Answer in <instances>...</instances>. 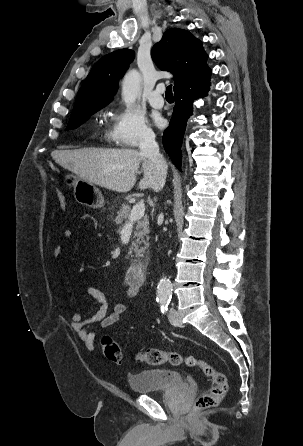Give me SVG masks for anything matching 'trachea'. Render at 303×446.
Instances as JSON below:
<instances>
[{"label": "trachea", "mask_w": 303, "mask_h": 446, "mask_svg": "<svg viewBox=\"0 0 303 446\" xmlns=\"http://www.w3.org/2000/svg\"><path fill=\"white\" fill-rule=\"evenodd\" d=\"M166 97H173L172 85L166 87Z\"/></svg>", "instance_id": "obj_1"}]
</instances>
